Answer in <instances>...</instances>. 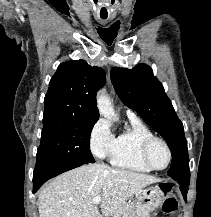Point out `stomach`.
Wrapping results in <instances>:
<instances>
[{
  "instance_id": "obj_1",
  "label": "stomach",
  "mask_w": 211,
  "mask_h": 217,
  "mask_svg": "<svg viewBox=\"0 0 211 217\" xmlns=\"http://www.w3.org/2000/svg\"><path fill=\"white\" fill-rule=\"evenodd\" d=\"M164 200L160 186H150L141 190L136 198L134 209L135 217H150V213L157 209Z\"/></svg>"
}]
</instances>
